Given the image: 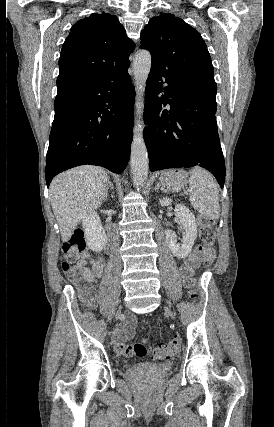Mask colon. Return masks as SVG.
Returning a JSON list of instances; mask_svg holds the SVG:
<instances>
[{
  "label": "colon",
  "instance_id": "obj_1",
  "mask_svg": "<svg viewBox=\"0 0 274 427\" xmlns=\"http://www.w3.org/2000/svg\"><path fill=\"white\" fill-rule=\"evenodd\" d=\"M216 225L206 217L201 218V233L200 242L188 256L186 264L183 268L185 281L190 289V297L196 299L198 290L195 282V271L200 263L204 262L206 254H212L215 242ZM89 242V235L83 229H76L64 243L65 259L62 262L63 271L73 278L75 281L84 284L86 287L90 285L89 275H86L82 270L81 265L77 263V256ZM180 342L177 338H172L164 346L151 349L145 341L136 343L117 342L116 349L122 355L129 358H145L151 351V355L155 359H171L179 351Z\"/></svg>",
  "mask_w": 274,
  "mask_h": 427
}]
</instances>
